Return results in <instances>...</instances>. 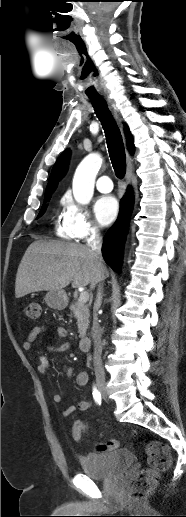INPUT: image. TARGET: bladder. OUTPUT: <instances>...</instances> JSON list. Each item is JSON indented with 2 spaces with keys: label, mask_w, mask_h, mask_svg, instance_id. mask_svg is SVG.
Listing matches in <instances>:
<instances>
[{
  "label": "bladder",
  "mask_w": 186,
  "mask_h": 517,
  "mask_svg": "<svg viewBox=\"0 0 186 517\" xmlns=\"http://www.w3.org/2000/svg\"><path fill=\"white\" fill-rule=\"evenodd\" d=\"M133 455L127 448L109 453H88L79 460L83 472L93 479H112L121 475L131 465Z\"/></svg>",
  "instance_id": "obj_1"
}]
</instances>
